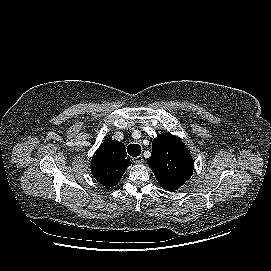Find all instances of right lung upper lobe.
I'll return each mask as SVG.
<instances>
[{
	"label": "right lung upper lobe",
	"mask_w": 271,
	"mask_h": 271,
	"mask_svg": "<svg viewBox=\"0 0 271 271\" xmlns=\"http://www.w3.org/2000/svg\"><path fill=\"white\" fill-rule=\"evenodd\" d=\"M127 156L123 143L106 139L96 151L91 162L94 178L106 188L118 184L127 167L132 163Z\"/></svg>",
	"instance_id": "cb5924a9"
}]
</instances>
